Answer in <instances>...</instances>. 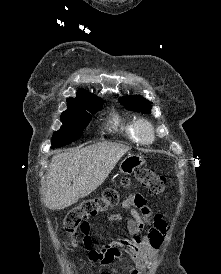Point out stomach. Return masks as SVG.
<instances>
[{
  "label": "stomach",
  "mask_w": 221,
  "mask_h": 274,
  "mask_svg": "<svg viewBox=\"0 0 221 274\" xmlns=\"http://www.w3.org/2000/svg\"><path fill=\"white\" fill-rule=\"evenodd\" d=\"M144 164L142 157L138 155L129 154L119 165V170L124 175H131L137 168Z\"/></svg>",
  "instance_id": "1"
}]
</instances>
